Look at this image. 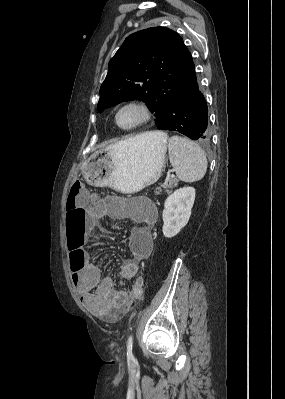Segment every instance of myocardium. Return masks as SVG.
Listing matches in <instances>:
<instances>
[{
  "label": "myocardium",
  "mask_w": 285,
  "mask_h": 399,
  "mask_svg": "<svg viewBox=\"0 0 285 399\" xmlns=\"http://www.w3.org/2000/svg\"><path fill=\"white\" fill-rule=\"evenodd\" d=\"M129 108L137 109L141 114V118L133 125L125 127L119 123V116L124 110L129 109ZM151 117H152V111L147 103H145L144 101H141V100H131V101L124 103L123 105H121L118 108V110L115 113V122H116V125L121 130L130 131V130H134V129L144 126L145 124H147L150 121Z\"/></svg>",
  "instance_id": "obj_1"
}]
</instances>
